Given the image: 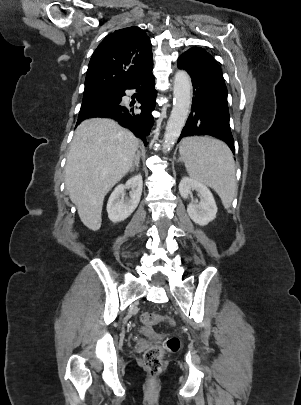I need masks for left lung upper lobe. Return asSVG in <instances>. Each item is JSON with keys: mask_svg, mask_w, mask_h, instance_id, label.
<instances>
[{"mask_svg": "<svg viewBox=\"0 0 301 405\" xmlns=\"http://www.w3.org/2000/svg\"><path fill=\"white\" fill-rule=\"evenodd\" d=\"M186 54H194V55H199V56H203L207 59H210L214 65L220 69L219 65L217 64V62L215 61V59L213 58L212 55H210L208 52H206L204 49L200 48V47H193L190 48L189 50H187L185 52ZM221 70V69H220Z\"/></svg>", "mask_w": 301, "mask_h": 405, "instance_id": "obj_1", "label": "left lung upper lobe"}]
</instances>
